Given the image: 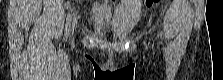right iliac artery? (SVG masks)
I'll return each mask as SVG.
<instances>
[{
	"instance_id": "1",
	"label": "right iliac artery",
	"mask_w": 223,
	"mask_h": 80,
	"mask_svg": "<svg viewBox=\"0 0 223 80\" xmlns=\"http://www.w3.org/2000/svg\"><path fill=\"white\" fill-rule=\"evenodd\" d=\"M71 20H72V15H71V13H69L67 16V20H66V28H65V36L66 37H68L69 32H70Z\"/></svg>"
}]
</instances>
